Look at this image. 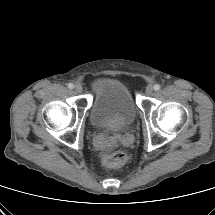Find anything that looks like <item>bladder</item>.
I'll list each match as a JSON object with an SVG mask.
<instances>
[{
    "instance_id": "31cf9c89",
    "label": "bladder",
    "mask_w": 215,
    "mask_h": 215,
    "mask_svg": "<svg viewBox=\"0 0 215 215\" xmlns=\"http://www.w3.org/2000/svg\"><path fill=\"white\" fill-rule=\"evenodd\" d=\"M136 117V105L120 81L99 77L91 83V124L100 130L121 132L127 129Z\"/></svg>"
}]
</instances>
